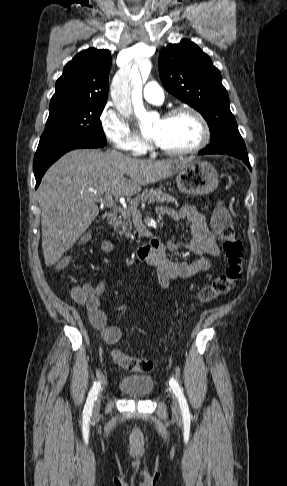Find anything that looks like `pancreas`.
Returning a JSON list of instances; mask_svg holds the SVG:
<instances>
[{"label":"pancreas","mask_w":287,"mask_h":486,"mask_svg":"<svg viewBox=\"0 0 287 486\" xmlns=\"http://www.w3.org/2000/svg\"><path fill=\"white\" fill-rule=\"evenodd\" d=\"M146 201L156 203H173L177 200L169 194L162 192L160 189L144 190L140 195H137L129 202L127 208L120 209L121 218L114 224V230L120 235H125L127 238L134 239L135 231L132 228V218L140 204L146 203Z\"/></svg>","instance_id":"pancreas-1"}]
</instances>
